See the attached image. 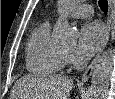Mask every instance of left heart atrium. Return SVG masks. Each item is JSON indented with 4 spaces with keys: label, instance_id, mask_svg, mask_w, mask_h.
<instances>
[{
    "label": "left heart atrium",
    "instance_id": "left-heart-atrium-1",
    "mask_svg": "<svg viewBox=\"0 0 115 99\" xmlns=\"http://www.w3.org/2000/svg\"><path fill=\"white\" fill-rule=\"evenodd\" d=\"M106 37L105 29L99 22L85 24L79 32L76 53L81 59H88L97 52Z\"/></svg>",
    "mask_w": 115,
    "mask_h": 99
}]
</instances>
